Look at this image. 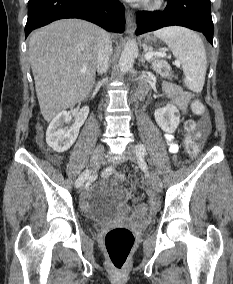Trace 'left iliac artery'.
<instances>
[{"instance_id": "obj_1", "label": "left iliac artery", "mask_w": 233, "mask_h": 284, "mask_svg": "<svg viewBox=\"0 0 233 284\" xmlns=\"http://www.w3.org/2000/svg\"><path fill=\"white\" fill-rule=\"evenodd\" d=\"M137 148L142 155H146V149H145L144 145L138 144Z\"/></svg>"}]
</instances>
